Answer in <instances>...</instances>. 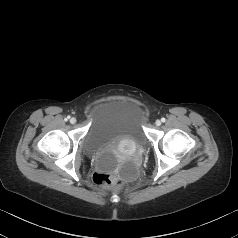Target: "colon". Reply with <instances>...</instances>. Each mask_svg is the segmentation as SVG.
<instances>
[{"label":"colon","instance_id":"colon-1","mask_svg":"<svg viewBox=\"0 0 238 238\" xmlns=\"http://www.w3.org/2000/svg\"><path fill=\"white\" fill-rule=\"evenodd\" d=\"M93 182L100 187L115 189L124 183L123 176L118 172H107L98 170L92 176Z\"/></svg>","mask_w":238,"mask_h":238}]
</instances>
